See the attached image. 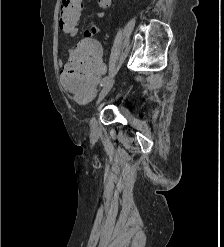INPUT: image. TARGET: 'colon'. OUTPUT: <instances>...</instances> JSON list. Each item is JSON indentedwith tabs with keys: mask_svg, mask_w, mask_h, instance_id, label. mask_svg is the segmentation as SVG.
<instances>
[{
	"mask_svg": "<svg viewBox=\"0 0 224 247\" xmlns=\"http://www.w3.org/2000/svg\"><path fill=\"white\" fill-rule=\"evenodd\" d=\"M100 3L108 6L110 0H100ZM80 10L81 0H62L58 19L63 32L68 33L78 26ZM105 71L100 45L96 40H85L79 44L73 57L63 65L61 81L66 89L76 93L79 102L87 103Z\"/></svg>",
	"mask_w": 224,
	"mask_h": 247,
	"instance_id": "colon-1",
	"label": "colon"
}]
</instances>
